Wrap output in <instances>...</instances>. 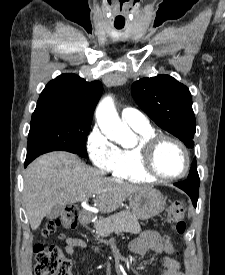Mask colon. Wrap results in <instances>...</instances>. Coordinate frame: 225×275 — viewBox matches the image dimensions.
Instances as JSON below:
<instances>
[{
	"mask_svg": "<svg viewBox=\"0 0 225 275\" xmlns=\"http://www.w3.org/2000/svg\"><path fill=\"white\" fill-rule=\"evenodd\" d=\"M79 208L69 206L58 218L50 221L42 231L43 236L53 234L60 226L66 229H72L76 226L79 217ZM167 221L171 224L172 230L176 236H183L187 229L185 220V205L181 201L170 203L167 208ZM171 252V248L167 247ZM35 253V275H72L71 263L63 255L61 249L57 246H44L37 244L34 248ZM178 256L180 252L176 253Z\"/></svg>",
	"mask_w": 225,
	"mask_h": 275,
	"instance_id": "colon-1",
	"label": "colon"
}]
</instances>
